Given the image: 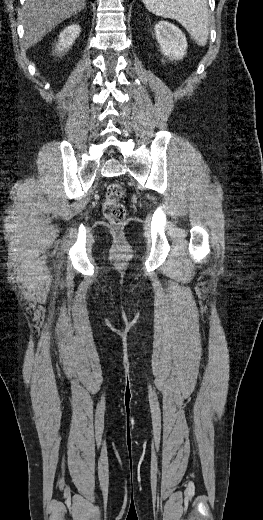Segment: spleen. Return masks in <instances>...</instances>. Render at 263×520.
<instances>
[{
	"label": "spleen",
	"mask_w": 263,
	"mask_h": 520,
	"mask_svg": "<svg viewBox=\"0 0 263 520\" xmlns=\"http://www.w3.org/2000/svg\"><path fill=\"white\" fill-rule=\"evenodd\" d=\"M148 11L177 20L199 46L207 44L209 7L207 0H143Z\"/></svg>",
	"instance_id": "3e777b00"
}]
</instances>
